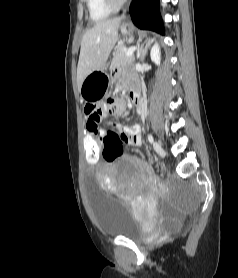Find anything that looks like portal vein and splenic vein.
Listing matches in <instances>:
<instances>
[{"label": "portal vein and splenic vein", "instance_id": "portal-vein-and-splenic-vein-1", "mask_svg": "<svg viewBox=\"0 0 238 278\" xmlns=\"http://www.w3.org/2000/svg\"><path fill=\"white\" fill-rule=\"evenodd\" d=\"M137 48L136 47H130L127 52H126V56L127 57H130L133 55L134 51L136 50Z\"/></svg>", "mask_w": 238, "mask_h": 278}]
</instances>
